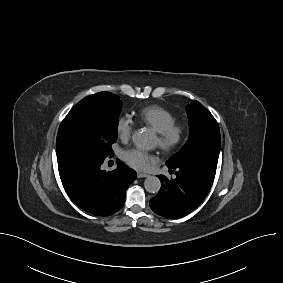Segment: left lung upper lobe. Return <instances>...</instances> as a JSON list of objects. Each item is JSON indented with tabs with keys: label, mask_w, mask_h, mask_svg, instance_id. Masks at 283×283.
Listing matches in <instances>:
<instances>
[{
	"label": "left lung upper lobe",
	"mask_w": 283,
	"mask_h": 283,
	"mask_svg": "<svg viewBox=\"0 0 283 283\" xmlns=\"http://www.w3.org/2000/svg\"><path fill=\"white\" fill-rule=\"evenodd\" d=\"M190 136L181 150L166 165L193 167L214 180L220 151V130L213 115L198 101L187 105Z\"/></svg>",
	"instance_id": "5c2ea615"
}]
</instances>
